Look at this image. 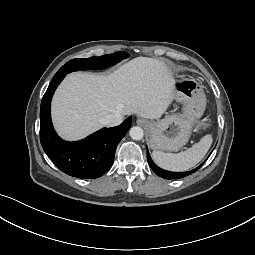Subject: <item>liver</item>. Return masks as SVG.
<instances>
[{"instance_id":"liver-1","label":"liver","mask_w":255,"mask_h":255,"mask_svg":"<svg viewBox=\"0 0 255 255\" xmlns=\"http://www.w3.org/2000/svg\"><path fill=\"white\" fill-rule=\"evenodd\" d=\"M175 84L164 61L147 57L134 58L109 75L69 74L53 97L55 128L64 139L78 140L104 125L109 114L160 118L174 99Z\"/></svg>"}]
</instances>
